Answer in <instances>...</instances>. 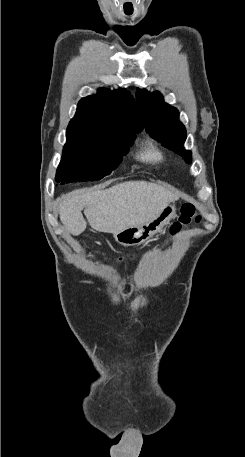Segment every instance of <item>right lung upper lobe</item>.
<instances>
[{"instance_id":"cb5924a9","label":"right lung upper lobe","mask_w":245,"mask_h":457,"mask_svg":"<svg viewBox=\"0 0 245 457\" xmlns=\"http://www.w3.org/2000/svg\"><path fill=\"white\" fill-rule=\"evenodd\" d=\"M70 122L113 124L141 129L142 116L126 89H99L96 95L81 99Z\"/></svg>"}]
</instances>
